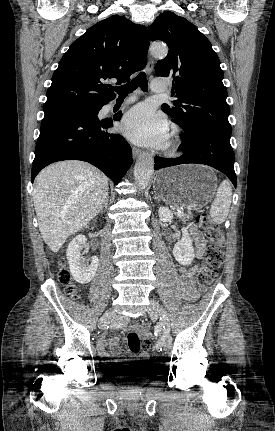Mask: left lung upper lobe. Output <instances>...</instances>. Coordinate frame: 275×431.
I'll return each mask as SVG.
<instances>
[{
	"label": "left lung upper lobe",
	"instance_id": "obj_1",
	"mask_svg": "<svg viewBox=\"0 0 275 431\" xmlns=\"http://www.w3.org/2000/svg\"><path fill=\"white\" fill-rule=\"evenodd\" d=\"M151 41L162 40L168 55L155 65L156 75L173 78L177 98L162 110L179 122L186 135L231 136L227 89L220 60L198 28L173 12L160 14L149 27Z\"/></svg>",
	"mask_w": 275,
	"mask_h": 431
}]
</instances>
